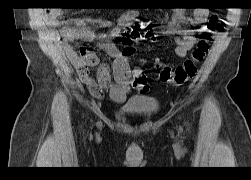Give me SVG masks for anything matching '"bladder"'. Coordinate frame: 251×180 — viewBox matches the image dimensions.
Segmentation results:
<instances>
[{
  "mask_svg": "<svg viewBox=\"0 0 251 180\" xmlns=\"http://www.w3.org/2000/svg\"><path fill=\"white\" fill-rule=\"evenodd\" d=\"M125 115L151 116L159 110V101L154 97H142L128 101L120 107Z\"/></svg>",
  "mask_w": 251,
  "mask_h": 180,
  "instance_id": "31cf9c89",
  "label": "bladder"
}]
</instances>
